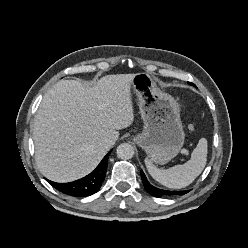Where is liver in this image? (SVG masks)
Wrapping results in <instances>:
<instances>
[{
  "label": "liver",
  "mask_w": 248,
  "mask_h": 248,
  "mask_svg": "<svg viewBox=\"0 0 248 248\" xmlns=\"http://www.w3.org/2000/svg\"><path fill=\"white\" fill-rule=\"evenodd\" d=\"M135 74L107 75L89 87L61 80L49 89L33 122L35 159L48 179L66 183L80 179L100 163L118 139L117 130L134 121L131 83Z\"/></svg>",
  "instance_id": "1"
}]
</instances>
